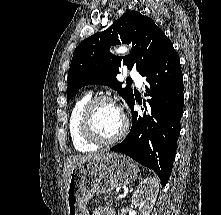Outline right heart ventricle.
<instances>
[{
	"label": "right heart ventricle",
	"mask_w": 221,
	"mask_h": 215,
	"mask_svg": "<svg viewBox=\"0 0 221 215\" xmlns=\"http://www.w3.org/2000/svg\"><path fill=\"white\" fill-rule=\"evenodd\" d=\"M91 99V95L89 93H86L80 97H78L69 114L68 119V131L71 138V142L75 150L79 152H91L96 150L97 146L96 144H93L89 141H87L80 132L79 127V119L81 111L84 107V105Z\"/></svg>",
	"instance_id": "e07e8e85"
}]
</instances>
